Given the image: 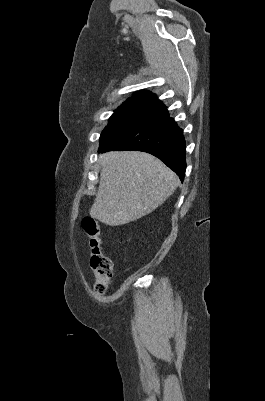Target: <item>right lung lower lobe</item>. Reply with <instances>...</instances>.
Listing matches in <instances>:
<instances>
[{"label":"right lung lower lobe","mask_w":265,"mask_h":401,"mask_svg":"<svg viewBox=\"0 0 265 401\" xmlns=\"http://www.w3.org/2000/svg\"><path fill=\"white\" fill-rule=\"evenodd\" d=\"M110 150H137L150 153L172 169L181 181L184 180L186 142L183 130L169 116L165 108L123 130L109 142L100 144L99 152Z\"/></svg>","instance_id":"right-lung-lower-lobe-1"}]
</instances>
